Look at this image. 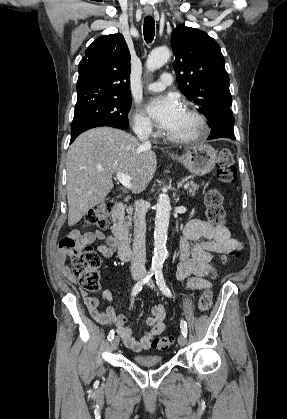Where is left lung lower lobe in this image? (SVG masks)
Masks as SVG:
<instances>
[{"instance_id": "left-lung-lower-lobe-1", "label": "left lung lower lobe", "mask_w": 287, "mask_h": 419, "mask_svg": "<svg viewBox=\"0 0 287 419\" xmlns=\"http://www.w3.org/2000/svg\"><path fill=\"white\" fill-rule=\"evenodd\" d=\"M234 117L231 110L224 111L218 117L216 123L211 126V134L208 137V140L218 139V138H229L235 140L234 136Z\"/></svg>"}]
</instances>
